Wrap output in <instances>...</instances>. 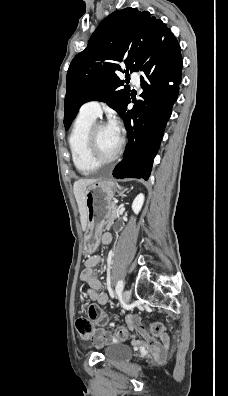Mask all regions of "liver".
I'll list each match as a JSON object with an SVG mask.
<instances>
[{
	"label": "liver",
	"mask_w": 228,
	"mask_h": 396,
	"mask_svg": "<svg viewBox=\"0 0 228 396\" xmlns=\"http://www.w3.org/2000/svg\"><path fill=\"white\" fill-rule=\"evenodd\" d=\"M96 182L94 179H79L74 182L73 191L78 204V209L80 213V221L83 231L87 227V211L85 205V190L87 186L91 183Z\"/></svg>",
	"instance_id": "1"
}]
</instances>
